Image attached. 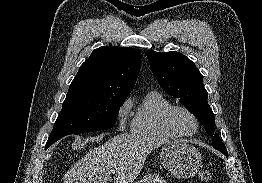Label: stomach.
Returning a JSON list of instances; mask_svg holds the SVG:
<instances>
[{"mask_svg": "<svg viewBox=\"0 0 262 183\" xmlns=\"http://www.w3.org/2000/svg\"><path fill=\"white\" fill-rule=\"evenodd\" d=\"M160 160L164 168L176 178L194 176L201 166V154L193 146L178 140L167 141L160 151ZM134 183H166L156 173H148Z\"/></svg>", "mask_w": 262, "mask_h": 183, "instance_id": "0dacf381", "label": "stomach"}]
</instances>
